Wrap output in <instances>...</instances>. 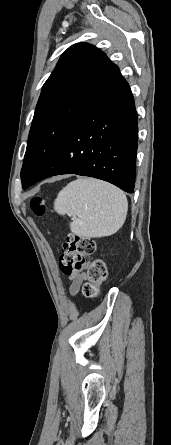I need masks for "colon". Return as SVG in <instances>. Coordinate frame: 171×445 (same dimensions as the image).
<instances>
[{
	"mask_svg": "<svg viewBox=\"0 0 171 445\" xmlns=\"http://www.w3.org/2000/svg\"><path fill=\"white\" fill-rule=\"evenodd\" d=\"M31 208L37 216H43L46 212L45 200L34 197ZM63 253L60 257V268L65 274L86 271V281L83 284V295L88 299L96 298L104 282L107 280L108 271L103 260L92 258L96 245L91 239L75 234L68 236L62 246Z\"/></svg>",
	"mask_w": 171,
	"mask_h": 445,
	"instance_id": "obj_1",
	"label": "colon"
}]
</instances>
